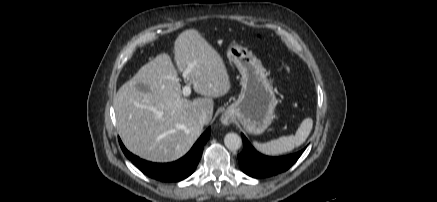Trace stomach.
<instances>
[{
  "mask_svg": "<svg viewBox=\"0 0 437 202\" xmlns=\"http://www.w3.org/2000/svg\"><path fill=\"white\" fill-rule=\"evenodd\" d=\"M227 57L241 74V92L223 117L237 119L250 134H262L271 124L277 99L261 61L245 47L231 44Z\"/></svg>",
  "mask_w": 437,
  "mask_h": 202,
  "instance_id": "stomach-1",
  "label": "stomach"
}]
</instances>
